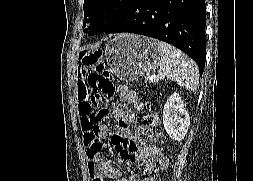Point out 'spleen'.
I'll use <instances>...</instances> for the list:
<instances>
[{"mask_svg":"<svg viewBox=\"0 0 253 181\" xmlns=\"http://www.w3.org/2000/svg\"><path fill=\"white\" fill-rule=\"evenodd\" d=\"M160 50V77L196 92L199 84V70L196 63L180 50L163 41H158Z\"/></svg>","mask_w":253,"mask_h":181,"instance_id":"obj_1","label":"spleen"}]
</instances>
